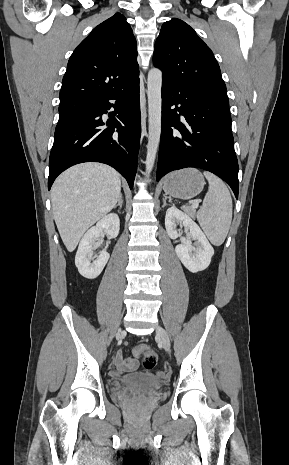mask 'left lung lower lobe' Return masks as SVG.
<instances>
[{
	"instance_id": "obj_1",
	"label": "left lung lower lobe",
	"mask_w": 289,
	"mask_h": 465,
	"mask_svg": "<svg viewBox=\"0 0 289 465\" xmlns=\"http://www.w3.org/2000/svg\"><path fill=\"white\" fill-rule=\"evenodd\" d=\"M180 115L186 125L180 122ZM186 167L216 174L238 198V161L228 100L163 82L157 181L170 171Z\"/></svg>"
}]
</instances>
